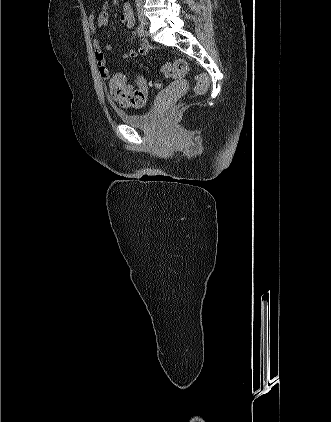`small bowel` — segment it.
I'll return each instance as SVG.
<instances>
[{"mask_svg": "<svg viewBox=\"0 0 331 422\" xmlns=\"http://www.w3.org/2000/svg\"><path fill=\"white\" fill-rule=\"evenodd\" d=\"M108 18H109L108 3L105 2L102 5L101 10L99 12L93 9L92 12L90 13L88 17V25H89L90 31L93 34H97L100 30L105 29L107 27ZM119 19H120V22L124 24L127 30L129 31L130 39L133 40L136 34L138 33H137V30L135 29V23H134L132 10L128 4L124 5L123 12L120 15ZM93 47L95 50V58H96L99 74L102 79L110 81L112 76H111L110 69L107 66L105 52L111 51L113 47L111 44H106L103 46L98 39H94ZM149 50H150V45L148 41L145 39H141L139 41L138 48L129 49L122 55V58L132 59V58L137 57L138 55L145 56L148 54ZM120 103L124 106H130L129 104L125 102H120Z\"/></svg>", "mask_w": 331, "mask_h": 422, "instance_id": "1", "label": "small bowel"}]
</instances>
